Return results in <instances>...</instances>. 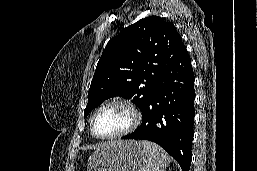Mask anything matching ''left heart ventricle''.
I'll return each mask as SVG.
<instances>
[{"label": "left heart ventricle", "mask_w": 257, "mask_h": 171, "mask_svg": "<svg viewBox=\"0 0 257 171\" xmlns=\"http://www.w3.org/2000/svg\"><path fill=\"white\" fill-rule=\"evenodd\" d=\"M132 121L131 113L122 106H110L98 113L95 118V132L101 136L116 134L127 128Z\"/></svg>", "instance_id": "b2bd125f"}]
</instances>
